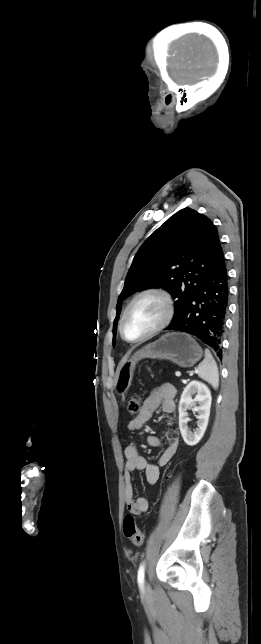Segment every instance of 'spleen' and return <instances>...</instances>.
I'll return each mask as SVG.
<instances>
[{"label": "spleen", "mask_w": 261, "mask_h": 644, "mask_svg": "<svg viewBox=\"0 0 261 644\" xmlns=\"http://www.w3.org/2000/svg\"><path fill=\"white\" fill-rule=\"evenodd\" d=\"M198 376L211 384L214 389H217L219 386V372L217 364L208 349L205 350V358L198 365L197 368Z\"/></svg>", "instance_id": "3e777b00"}]
</instances>
